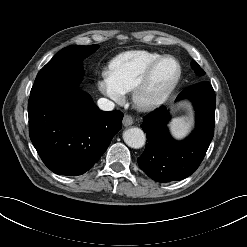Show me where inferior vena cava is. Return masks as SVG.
<instances>
[{
	"label": "inferior vena cava",
	"instance_id": "602c4592",
	"mask_svg": "<svg viewBox=\"0 0 247 247\" xmlns=\"http://www.w3.org/2000/svg\"><path fill=\"white\" fill-rule=\"evenodd\" d=\"M97 103L98 107L104 111H112L115 107V104L106 98H100Z\"/></svg>",
	"mask_w": 247,
	"mask_h": 247
}]
</instances>
